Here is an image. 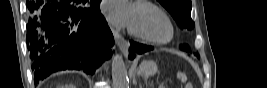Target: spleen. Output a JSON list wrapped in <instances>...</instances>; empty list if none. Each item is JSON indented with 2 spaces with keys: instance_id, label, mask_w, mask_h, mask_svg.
I'll use <instances>...</instances> for the list:
<instances>
[{
  "instance_id": "spleen-1",
  "label": "spleen",
  "mask_w": 267,
  "mask_h": 88,
  "mask_svg": "<svg viewBox=\"0 0 267 88\" xmlns=\"http://www.w3.org/2000/svg\"><path fill=\"white\" fill-rule=\"evenodd\" d=\"M177 77L179 78V79H181L182 81H185V75L183 74V73H178L177 74Z\"/></svg>"
}]
</instances>
